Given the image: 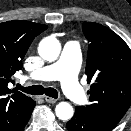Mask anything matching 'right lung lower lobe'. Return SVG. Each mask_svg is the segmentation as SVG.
I'll list each match as a JSON object with an SVG mask.
<instances>
[{"mask_svg":"<svg viewBox=\"0 0 131 131\" xmlns=\"http://www.w3.org/2000/svg\"><path fill=\"white\" fill-rule=\"evenodd\" d=\"M34 106H35V105H34ZM31 113H32V112H31ZM31 113H30V115L28 116V118L25 120L24 124L21 126V128H20L19 131H23L24 127L26 126V124H27V122H28V120H29V118H30V116H31Z\"/></svg>","mask_w":131,"mask_h":131,"instance_id":"1","label":"right lung lower lobe"}]
</instances>
